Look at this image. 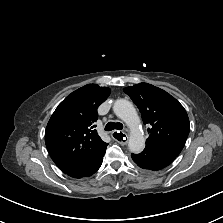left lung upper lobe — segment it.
I'll return each instance as SVG.
<instances>
[{
  "mask_svg": "<svg viewBox=\"0 0 223 223\" xmlns=\"http://www.w3.org/2000/svg\"><path fill=\"white\" fill-rule=\"evenodd\" d=\"M124 92L139 108L143 123L150 125L146 146L179 155L190 130L184 107L166 91L148 83L124 88Z\"/></svg>",
  "mask_w": 223,
  "mask_h": 223,
  "instance_id": "1",
  "label": "left lung upper lobe"
}]
</instances>
